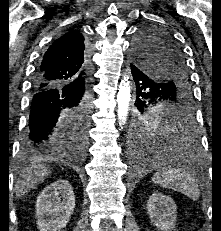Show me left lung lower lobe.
Wrapping results in <instances>:
<instances>
[{"instance_id":"left-lung-lower-lobe-1","label":"left lung lower lobe","mask_w":221,"mask_h":231,"mask_svg":"<svg viewBox=\"0 0 221 231\" xmlns=\"http://www.w3.org/2000/svg\"><path fill=\"white\" fill-rule=\"evenodd\" d=\"M131 72L136 84L135 106L138 107L144 100L157 95L166 89L164 83L154 81L138 66L131 64ZM174 130L166 133H155L151 136H141L134 133L131 138L133 154L147 161H156V154L161 149H167L166 162L179 166H188L198 152V138L195 130V121L189 116L172 125ZM178 130V131H177Z\"/></svg>"}]
</instances>
